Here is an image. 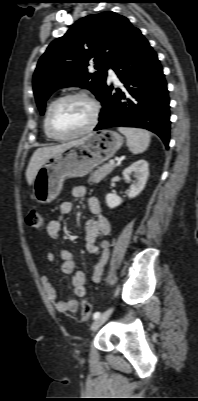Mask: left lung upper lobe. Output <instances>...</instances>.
Wrapping results in <instances>:
<instances>
[{"label": "left lung upper lobe", "mask_w": 198, "mask_h": 401, "mask_svg": "<svg viewBox=\"0 0 198 401\" xmlns=\"http://www.w3.org/2000/svg\"><path fill=\"white\" fill-rule=\"evenodd\" d=\"M136 30L127 18L107 11L78 20L63 37L54 40L39 59L33 76L40 113H44L51 93L62 87L89 89L99 100L106 86L107 69ZM90 61L95 63L94 73L88 72Z\"/></svg>", "instance_id": "left-lung-upper-lobe-1"}]
</instances>
